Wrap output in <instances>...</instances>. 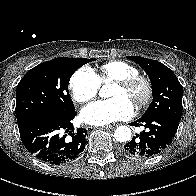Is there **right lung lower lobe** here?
<instances>
[{
  "label": "right lung lower lobe",
  "instance_id": "1",
  "mask_svg": "<svg viewBox=\"0 0 196 196\" xmlns=\"http://www.w3.org/2000/svg\"><path fill=\"white\" fill-rule=\"evenodd\" d=\"M75 111L62 114L51 111L33 113L18 121L20 137L25 148L38 159L60 165L77 158L87 144V130H73L71 120ZM70 135L66 138V134Z\"/></svg>",
  "mask_w": 196,
  "mask_h": 196
}]
</instances>
